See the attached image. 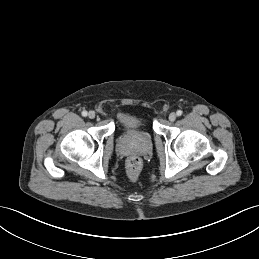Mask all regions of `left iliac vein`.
Instances as JSON below:
<instances>
[{
    "label": "left iliac vein",
    "mask_w": 259,
    "mask_h": 259,
    "mask_svg": "<svg viewBox=\"0 0 259 259\" xmlns=\"http://www.w3.org/2000/svg\"><path fill=\"white\" fill-rule=\"evenodd\" d=\"M175 119H176V114H175V113H170V115H169V120H170L171 122H173V121H175Z\"/></svg>",
    "instance_id": "1"
}]
</instances>
